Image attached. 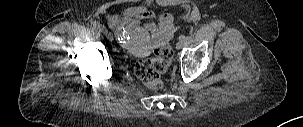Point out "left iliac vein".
<instances>
[{"instance_id":"left-iliac-vein-1","label":"left iliac vein","mask_w":303,"mask_h":127,"mask_svg":"<svg viewBox=\"0 0 303 127\" xmlns=\"http://www.w3.org/2000/svg\"><path fill=\"white\" fill-rule=\"evenodd\" d=\"M188 42L186 41L185 37L184 36H180L179 37V41L177 43V48L178 49H181L185 46H187Z\"/></svg>"}]
</instances>
